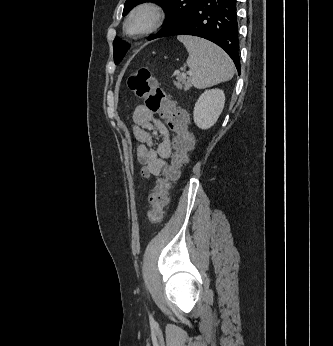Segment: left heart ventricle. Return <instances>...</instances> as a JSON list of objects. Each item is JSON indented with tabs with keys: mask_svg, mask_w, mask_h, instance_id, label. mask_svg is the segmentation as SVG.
<instances>
[{
	"mask_svg": "<svg viewBox=\"0 0 333 346\" xmlns=\"http://www.w3.org/2000/svg\"><path fill=\"white\" fill-rule=\"evenodd\" d=\"M149 20L150 18L147 14H141L131 22L130 29L133 31L143 29L148 25Z\"/></svg>",
	"mask_w": 333,
	"mask_h": 346,
	"instance_id": "left-heart-ventricle-1",
	"label": "left heart ventricle"
}]
</instances>
